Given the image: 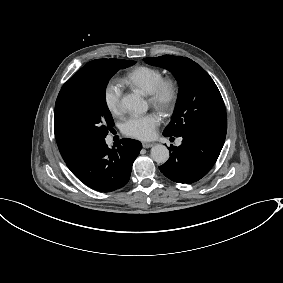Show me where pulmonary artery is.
Wrapping results in <instances>:
<instances>
[{
	"label": "pulmonary artery",
	"instance_id": "e3ab8cb5",
	"mask_svg": "<svg viewBox=\"0 0 283 283\" xmlns=\"http://www.w3.org/2000/svg\"><path fill=\"white\" fill-rule=\"evenodd\" d=\"M107 142H108V143H110V139H108V140H107ZM177 143H178V144H180V143H181V139H180V140H178V142H177Z\"/></svg>",
	"mask_w": 283,
	"mask_h": 283
}]
</instances>
